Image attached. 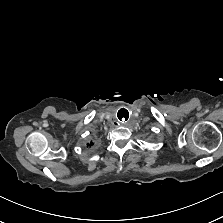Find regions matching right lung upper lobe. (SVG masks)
<instances>
[{
  "label": "right lung upper lobe",
  "mask_w": 223,
  "mask_h": 223,
  "mask_svg": "<svg viewBox=\"0 0 223 223\" xmlns=\"http://www.w3.org/2000/svg\"><path fill=\"white\" fill-rule=\"evenodd\" d=\"M88 146H92L93 145V142L91 141V143L87 144Z\"/></svg>",
  "instance_id": "1"
}]
</instances>
